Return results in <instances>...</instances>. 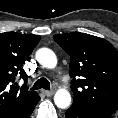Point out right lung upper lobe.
<instances>
[{"label": "right lung upper lobe", "instance_id": "cb5924a9", "mask_svg": "<svg viewBox=\"0 0 118 118\" xmlns=\"http://www.w3.org/2000/svg\"><path fill=\"white\" fill-rule=\"evenodd\" d=\"M39 41L38 35L0 33V118H27L40 100L25 85L27 75L22 68ZM17 75L24 79L21 87L15 82Z\"/></svg>", "mask_w": 118, "mask_h": 118}]
</instances>
